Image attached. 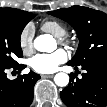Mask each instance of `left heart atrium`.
Masks as SVG:
<instances>
[{"label": "left heart atrium", "mask_w": 107, "mask_h": 107, "mask_svg": "<svg viewBox=\"0 0 107 107\" xmlns=\"http://www.w3.org/2000/svg\"><path fill=\"white\" fill-rule=\"evenodd\" d=\"M67 58V53L62 49H58L52 53L35 55L31 59L30 65L38 73L49 74L55 72L59 65L66 62Z\"/></svg>", "instance_id": "39dd6f15"}]
</instances>
